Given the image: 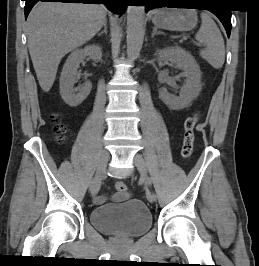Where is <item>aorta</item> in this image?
Returning <instances> with one entry per match:
<instances>
[{"instance_id":"1","label":"aorta","mask_w":259,"mask_h":266,"mask_svg":"<svg viewBox=\"0 0 259 266\" xmlns=\"http://www.w3.org/2000/svg\"><path fill=\"white\" fill-rule=\"evenodd\" d=\"M144 6H128L127 9V56L139 57L144 38Z\"/></svg>"}]
</instances>
